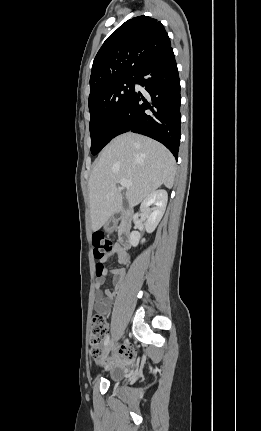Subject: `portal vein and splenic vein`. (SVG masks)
I'll return each mask as SVG.
<instances>
[{
  "mask_svg": "<svg viewBox=\"0 0 261 431\" xmlns=\"http://www.w3.org/2000/svg\"><path fill=\"white\" fill-rule=\"evenodd\" d=\"M119 183L124 188H129L132 186V183L130 181H128L127 179H121V180H119Z\"/></svg>",
  "mask_w": 261,
  "mask_h": 431,
  "instance_id": "1",
  "label": "portal vein and splenic vein"
}]
</instances>
